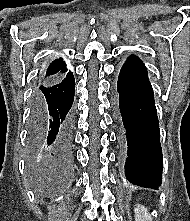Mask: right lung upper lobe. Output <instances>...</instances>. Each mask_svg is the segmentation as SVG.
<instances>
[{
  "instance_id": "1",
  "label": "right lung upper lobe",
  "mask_w": 190,
  "mask_h": 221,
  "mask_svg": "<svg viewBox=\"0 0 190 221\" xmlns=\"http://www.w3.org/2000/svg\"><path fill=\"white\" fill-rule=\"evenodd\" d=\"M71 73L67 70L66 64L62 58L54 60L49 67L47 68L46 72H44L41 76V80H49L57 77H63L64 75Z\"/></svg>"
}]
</instances>
